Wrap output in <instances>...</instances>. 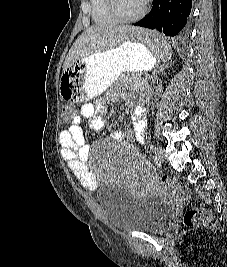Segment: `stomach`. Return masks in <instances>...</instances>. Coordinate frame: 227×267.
Masks as SVG:
<instances>
[{
  "mask_svg": "<svg viewBox=\"0 0 227 267\" xmlns=\"http://www.w3.org/2000/svg\"><path fill=\"white\" fill-rule=\"evenodd\" d=\"M156 65L149 47L130 39L107 51L94 53L68 64L59 92L63 104H84L100 95L123 73L149 71Z\"/></svg>",
  "mask_w": 227,
  "mask_h": 267,
  "instance_id": "obj_1",
  "label": "stomach"
}]
</instances>
